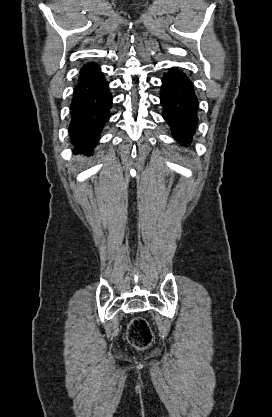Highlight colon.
Here are the masks:
<instances>
[{
	"instance_id": "obj_1",
	"label": "colon",
	"mask_w": 272,
	"mask_h": 417,
	"mask_svg": "<svg viewBox=\"0 0 272 417\" xmlns=\"http://www.w3.org/2000/svg\"><path fill=\"white\" fill-rule=\"evenodd\" d=\"M127 339L137 348H146L151 344L153 333L143 317H136L130 322L127 328Z\"/></svg>"
}]
</instances>
